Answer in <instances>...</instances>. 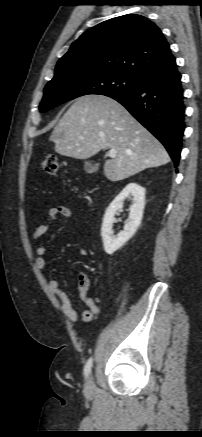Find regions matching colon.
<instances>
[{"label":"colon","instance_id":"obj_1","mask_svg":"<svg viewBox=\"0 0 202 437\" xmlns=\"http://www.w3.org/2000/svg\"><path fill=\"white\" fill-rule=\"evenodd\" d=\"M60 161L56 156H47L40 164V169L49 175H55L60 169Z\"/></svg>","mask_w":202,"mask_h":437}]
</instances>
